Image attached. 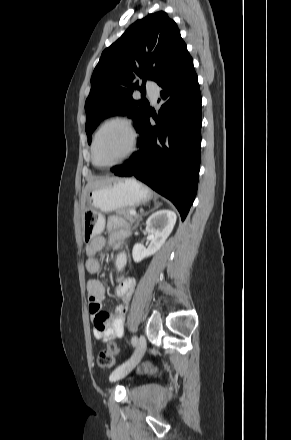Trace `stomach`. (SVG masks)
Returning a JSON list of instances; mask_svg holds the SVG:
<instances>
[{
  "mask_svg": "<svg viewBox=\"0 0 291 440\" xmlns=\"http://www.w3.org/2000/svg\"><path fill=\"white\" fill-rule=\"evenodd\" d=\"M149 199L148 189L132 178L116 179L90 189L86 194V208L82 217L83 239L88 241L103 231L105 218L102 213L135 207Z\"/></svg>",
  "mask_w": 291,
  "mask_h": 440,
  "instance_id": "1",
  "label": "stomach"
}]
</instances>
